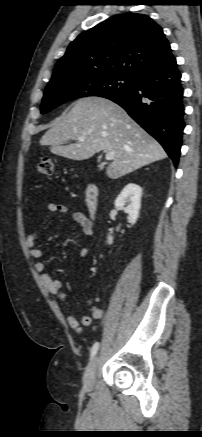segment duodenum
<instances>
[{
  "label": "duodenum",
  "mask_w": 202,
  "mask_h": 437,
  "mask_svg": "<svg viewBox=\"0 0 202 437\" xmlns=\"http://www.w3.org/2000/svg\"><path fill=\"white\" fill-rule=\"evenodd\" d=\"M98 198V187L94 183H89L85 188L84 202L91 219H93L97 213Z\"/></svg>",
  "instance_id": "410a0bca"
}]
</instances>
